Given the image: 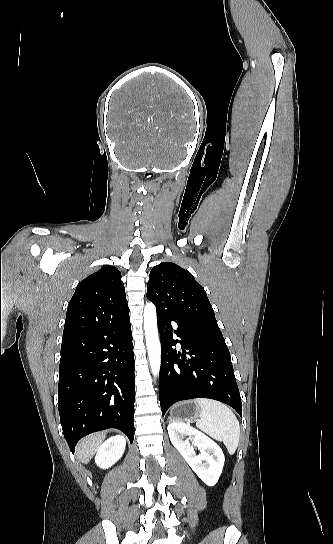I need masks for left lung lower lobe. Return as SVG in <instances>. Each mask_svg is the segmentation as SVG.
I'll list each match as a JSON object with an SVG mask.
<instances>
[{
	"label": "left lung lower lobe",
	"instance_id": "left-lung-lower-lobe-1",
	"mask_svg": "<svg viewBox=\"0 0 333 544\" xmlns=\"http://www.w3.org/2000/svg\"><path fill=\"white\" fill-rule=\"evenodd\" d=\"M156 309L161 336L159 399L162 415L178 401L209 398L226 403L242 416L239 389L221 331ZM173 322L178 325L176 330L172 328ZM174 333L179 340L173 339ZM177 343L182 352L173 348Z\"/></svg>",
	"mask_w": 333,
	"mask_h": 544
}]
</instances>
